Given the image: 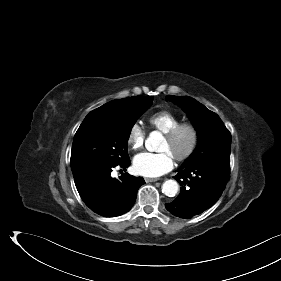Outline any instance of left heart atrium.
Listing matches in <instances>:
<instances>
[{"instance_id": "left-heart-atrium-1", "label": "left heart atrium", "mask_w": 281, "mask_h": 281, "mask_svg": "<svg viewBox=\"0 0 281 281\" xmlns=\"http://www.w3.org/2000/svg\"><path fill=\"white\" fill-rule=\"evenodd\" d=\"M174 166V156L168 151L160 153L143 152L133 160L134 171L145 177H159Z\"/></svg>"}]
</instances>
